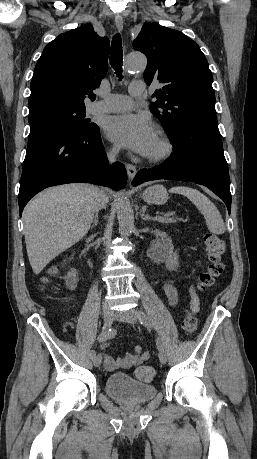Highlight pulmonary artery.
<instances>
[{"label":"pulmonary artery","mask_w":257,"mask_h":459,"mask_svg":"<svg viewBox=\"0 0 257 459\" xmlns=\"http://www.w3.org/2000/svg\"><path fill=\"white\" fill-rule=\"evenodd\" d=\"M128 90L129 95L112 94L105 96L103 100L95 102L89 107L90 112L111 113L129 109L133 104L132 98L140 97L144 93V82L141 80L132 81Z\"/></svg>","instance_id":"1"}]
</instances>
